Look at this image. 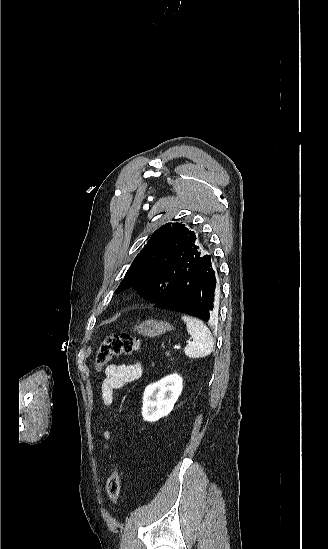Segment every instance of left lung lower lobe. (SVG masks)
<instances>
[{
	"label": "left lung lower lobe",
	"mask_w": 328,
	"mask_h": 549,
	"mask_svg": "<svg viewBox=\"0 0 328 549\" xmlns=\"http://www.w3.org/2000/svg\"><path fill=\"white\" fill-rule=\"evenodd\" d=\"M218 292L211 257L202 256L178 281L170 296L154 303V307L174 310L213 322Z\"/></svg>",
	"instance_id": "0a47b994"
}]
</instances>
